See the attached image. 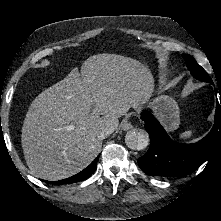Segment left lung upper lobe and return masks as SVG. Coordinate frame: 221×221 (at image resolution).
<instances>
[{"mask_svg": "<svg viewBox=\"0 0 221 221\" xmlns=\"http://www.w3.org/2000/svg\"><path fill=\"white\" fill-rule=\"evenodd\" d=\"M182 57L186 61L189 70L196 79L205 82L212 81L205 70L194 60L192 56L183 54Z\"/></svg>", "mask_w": 221, "mask_h": 221, "instance_id": "5c2ea615", "label": "left lung upper lobe"}]
</instances>
